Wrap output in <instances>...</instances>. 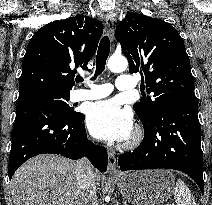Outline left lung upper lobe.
<instances>
[{
  "label": "left lung upper lobe",
  "mask_w": 212,
  "mask_h": 205,
  "mask_svg": "<svg viewBox=\"0 0 212 205\" xmlns=\"http://www.w3.org/2000/svg\"><path fill=\"white\" fill-rule=\"evenodd\" d=\"M122 53L129 61V72H140L147 93L134 104L143 125L152 123L170 105L196 100L189 57L175 28L163 20L128 13L115 33Z\"/></svg>",
  "instance_id": "5c2ea615"
}]
</instances>
